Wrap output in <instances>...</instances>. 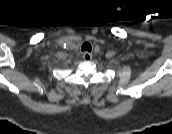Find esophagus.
<instances>
[{"label":"esophagus","mask_w":172,"mask_h":134,"mask_svg":"<svg viewBox=\"0 0 172 134\" xmlns=\"http://www.w3.org/2000/svg\"><path fill=\"white\" fill-rule=\"evenodd\" d=\"M82 57L85 61H90L92 59V54L86 51L83 53Z\"/></svg>","instance_id":"obj_1"}]
</instances>
